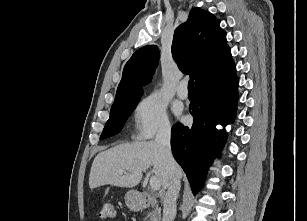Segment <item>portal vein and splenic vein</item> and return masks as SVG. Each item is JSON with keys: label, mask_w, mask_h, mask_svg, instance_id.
<instances>
[{"label": "portal vein and splenic vein", "mask_w": 307, "mask_h": 221, "mask_svg": "<svg viewBox=\"0 0 307 221\" xmlns=\"http://www.w3.org/2000/svg\"><path fill=\"white\" fill-rule=\"evenodd\" d=\"M120 174H123V171H120ZM149 183L152 190L154 191L160 190L161 188L160 181L155 176H151Z\"/></svg>", "instance_id": "portal-vein-and-splenic-vein-1"}]
</instances>
